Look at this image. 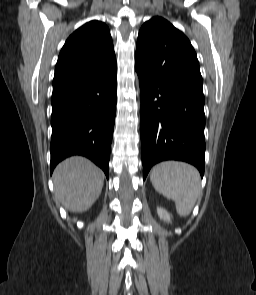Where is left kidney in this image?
<instances>
[{
    "label": "left kidney",
    "instance_id": "5707ae66",
    "mask_svg": "<svg viewBox=\"0 0 256 295\" xmlns=\"http://www.w3.org/2000/svg\"><path fill=\"white\" fill-rule=\"evenodd\" d=\"M157 214L160 217L161 220L166 221V222H170V214L163 208H157Z\"/></svg>",
    "mask_w": 256,
    "mask_h": 295
}]
</instances>
